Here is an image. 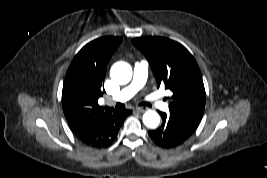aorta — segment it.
Listing matches in <instances>:
<instances>
[{"label":"aorta","mask_w":267,"mask_h":178,"mask_svg":"<svg viewBox=\"0 0 267 178\" xmlns=\"http://www.w3.org/2000/svg\"><path fill=\"white\" fill-rule=\"evenodd\" d=\"M111 79L118 84H127L132 78V68L131 66L123 61L116 62L110 70ZM143 123L146 127L154 129L160 123V116L157 112L153 110H148L144 113Z\"/></svg>","instance_id":"aorta-1"}]
</instances>
